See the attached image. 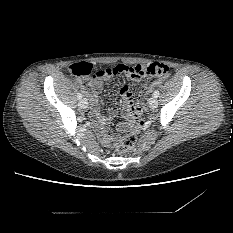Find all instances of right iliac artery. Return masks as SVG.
<instances>
[{
	"mask_svg": "<svg viewBox=\"0 0 233 233\" xmlns=\"http://www.w3.org/2000/svg\"><path fill=\"white\" fill-rule=\"evenodd\" d=\"M77 98L80 100L82 98V94L81 93H78L77 94Z\"/></svg>",
	"mask_w": 233,
	"mask_h": 233,
	"instance_id": "1",
	"label": "right iliac artery"
}]
</instances>
